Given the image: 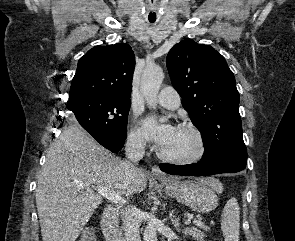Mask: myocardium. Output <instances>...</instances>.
<instances>
[{"mask_svg":"<svg viewBox=\"0 0 295 241\" xmlns=\"http://www.w3.org/2000/svg\"><path fill=\"white\" fill-rule=\"evenodd\" d=\"M178 129L189 131L193 134L196 141V151L187 157H175L159 151V157L166 161L177 165H192L200 162L207 154L208 145L203 132L194 124L182 123L178 126Z\"/></svg>","mask_w":295,"mask_h":241,"instance_id":"myocardium-1","label":"myocardium"}]
</instances>
